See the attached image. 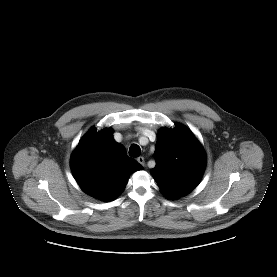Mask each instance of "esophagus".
<instances>
[{"label": "esophagus", "instance_id": "1", "mask_svg": "<svg viewBox=\"0 0 277 277\" xmlns=\"http://www.w3.org/2000/svg\"><path fill=\"white\" fill-rule=\"evenodd\" d=\"M137 161L141 164V165H145V160H144V158L143 157H138L137 158Z\"/></svg>", "mask_w": 277, "mask_h": 277}]
</instances>
